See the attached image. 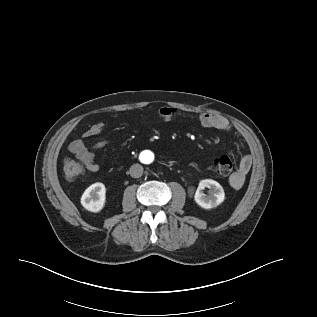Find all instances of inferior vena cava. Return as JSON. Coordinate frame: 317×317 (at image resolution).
Segmentation results:
<instances>
[{
    "instance_id": "1",
    "label": "inferior vena cava",
    "mask_w": 317,
    "mask_h": 317,
    "mask_svg": "<svg viewBox=\"0 0 317 317\" xmlns=\"http://www.w3.org/2000/svg\"><path fill=\"white\" fill-rule=\"evenodd\" d=\"M129 174L133 178H139L143 174V167L140 164H133L130 167Z\"/></svg>"
}]
</instances>
